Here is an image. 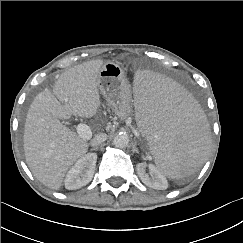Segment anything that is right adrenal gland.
Listing matches in <instances>:
<instances>
[{"label":"right adrenal gland","mask_w":243,"mask_h":243,"mask_svg":"<svg viewBox=\"0 0 243 243\" xmlns=\"http://www.w3.org/2000/svg\"><path fill=\"white\" fill-rule=\"evenodd\" d=\"M91 151H98V147L92 148Z\"/></svg>","instance_id":"obj_1"}]
</instances>
